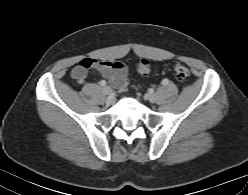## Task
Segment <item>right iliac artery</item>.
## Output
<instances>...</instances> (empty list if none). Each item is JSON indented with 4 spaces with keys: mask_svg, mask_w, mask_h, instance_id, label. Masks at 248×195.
<instances>
[{
    "mask_svg": "<svg viewBox=\"0 0 248 195\" xmlns=\"http://www.w3.org/2000/svg\"><path fill=\"white\" fill-rule=\"evenodd\" d=\"M100 85L101 86H105L106 85V81H104V80L100 81Z\"/></svg>",
    "mask_w": 248,
    "mask_h": 195,
    "instance_id": "82829eb1",
    "label": "right iliac artery"
}]
</instances>
